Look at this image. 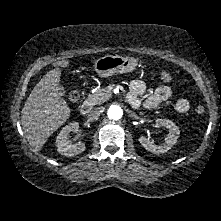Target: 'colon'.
I'll return each mask as SVG.
<instances>
[{"instance_id": "obj_1", "label": "colon", "mask_w": 221, "mask_h": 221, "mask_svg": "<svg viewBox=\"0 0 221 221\" xmlns=\"http://www.w3.org/2000/svg\"><path fill=\"white\" fill-rule=\"evenodd\" d=\"M163 75L162 72L160 73V78L161 80H163L164 82H169L172 80V75L166 71H163ZM70 99L72 101H77L79 99V93L77 91H72L70 93ZM195 112L199 115L203 114L204 113V107L203 106H197L196 109H195Z\"/></svg>"}]
</instances>
